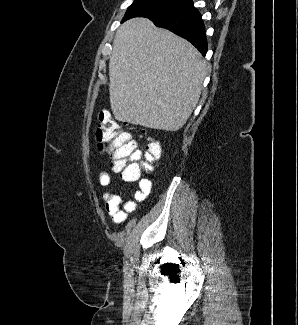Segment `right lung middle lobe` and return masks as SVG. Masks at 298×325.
<instances>
[{"label":"right lung middle lobe","instance_id":"1","mask_svg":"<svg viewBox=\"0 0 298 325\" xmlns=\"http://www.w3.org/2000/svg\"><path fill=\"white\" fill-rule=\"evenodd\" d=\"M192 0H135L127 9L123 21L133 17L153 18L175 12Z\"/></svg>","mask_w":298,"mask_h":325}]
</instances>
